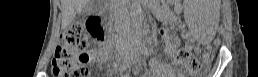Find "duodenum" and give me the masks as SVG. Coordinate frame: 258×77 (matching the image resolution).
I'll use <instances>...</instances> for the list:
<instances>
[{
  "mask_svg": "<svg viewBox=\"0 0 258 77\" xmlns=\"http://www.w3.org/2000/svg\"><path fill=\"white\" fill-rule=\"evenodd\" d=\"M86 25H87L88 32L90 33V35L93 37H98L97 33L101 27L99 19H89V20H87ZM102 30H103V28H102ZM99 36H102V35H99Z\"/></svg>",
  "mask_w": 258,
  "mask_h": 77,
  "instance_id": "obj_1",
  "label": "duodenum"
}]
</instances>
